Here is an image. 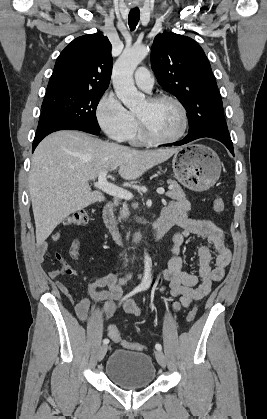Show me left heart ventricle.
<instances>
[{
    "label": "left heart ventricle",
    "instance_id": "b2bd125f",
    "mask_svg": "<svg viewBox=\"0 0 267 419\" xmlns=\"http://www.w3.org/2000/svg\"><path fill=\"white\" fill-rule=\"evenodd\" d=\"M151 133L159 138L175 136L181 129L182 117L178 107L169 101L150 104L147 100L136 110Z\"/></svg>",
    "mask_w": 267,
    "mask_h": 419
}]
</instances>
